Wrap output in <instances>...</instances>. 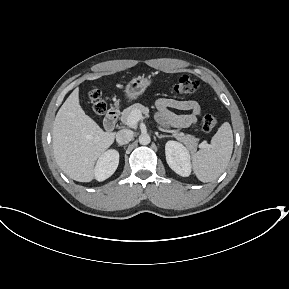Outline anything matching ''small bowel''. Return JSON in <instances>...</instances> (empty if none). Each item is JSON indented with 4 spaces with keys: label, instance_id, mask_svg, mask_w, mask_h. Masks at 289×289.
<instances>
[{
    "label": "small bowel",
    "instance_id": "small-bowel-1",
    "mask_svg": "<svg viewBox=\"0 0 289 289\" xmlns=\"http://www.w3.org/2000/svg\"><path fill=\"white\" fill-rule=\"evenodd\" d=\"M188 111V114H176L172 111ZM201 114L199 104L193 100L162 98L157 101V116L164 123L176 128L193 125Z\"/></svg>",
    "mask_w": 289,
    "mask_h": 289
}]
</instances>
